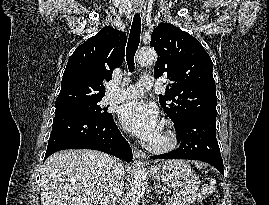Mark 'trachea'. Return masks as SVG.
Segmentation results:
<instances>
[{"mask_svg": "<svg viewBox=\"0 0 269 205\" xmlns=\"http://www.w3.org/2000/svg\"><path fill=\"white\" fill-rule=\"evenodd\" d=\"M140 34H141V18L139 14H135L126 48L127 65L131 73L135 69L134 56L140 43Z\"/></svg>", "mask_w": 269, "mask_h": 205, "instance_id": "trachea-1", "label": "trachea"}]
</instances>
